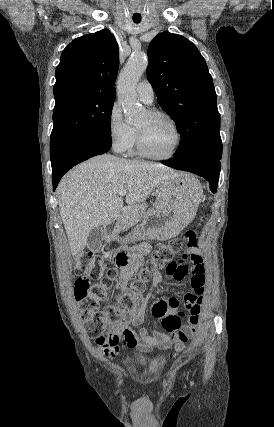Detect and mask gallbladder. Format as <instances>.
<instances>
[{
	"instance_id": "1",
	"label": "gallbladder",
	"mask_w": 274,
	"mask_h": 427,
	"mask_svg": "<svg viewBox=\"0 0 274 427\" xmlns=\"http://www.w3.org/2000/svg\"><path fill=\"white\" fill-rule=\"evenodd\" d=\"M102 243L103 227L99 225V227H95V229H91V231H89V235L87 237V247L88 249H91V251H99Z\"/></svg>"
}]
</instances>
